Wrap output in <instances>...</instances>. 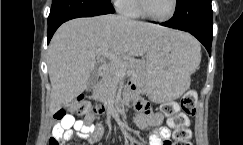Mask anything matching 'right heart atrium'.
<instances>
[{
	"label": "right heart atrium",
	"mask_w": 243,
	"mask_h": 145,
	"mask_svg": "<svg viewBox=\"0 0 243 145\" xmlns=\"http://www.w3.org/2000/svg\"><path fill=\"white\" fill-rule=\"evenodd\" d=\"M126 1H127V0H113V2L115 3V5H116L118 8H121V7L125 4Z\"/></svg>",
	"instance_id": "right-heart-atrium-1"
}]
</instances>
